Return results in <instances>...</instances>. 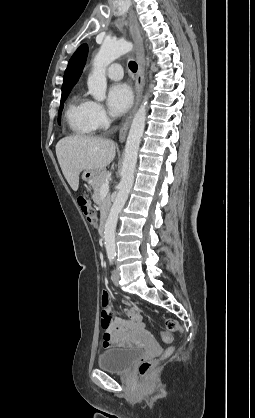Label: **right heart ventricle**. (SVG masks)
I'll return each mask as SVG.
<instances>
[{
    "label": "right heart ventricle",
    "mask_w": 255,
    "mask_h": 418,
    "mask_svg": "<svg viewBox=\"0 0 255 418\" xmlns=\"http://www.w3.org/2000/svg\"><path fill=\"white\" fill-rule=\"evenodd\" d=\"M92 101L81 92H75L67 105L65 117L70 130L80 136L91 135L95 126L91 115Z\"/></svg>",
    "instance_id": "right-heart-ventricle-1"
}]
</instances>
